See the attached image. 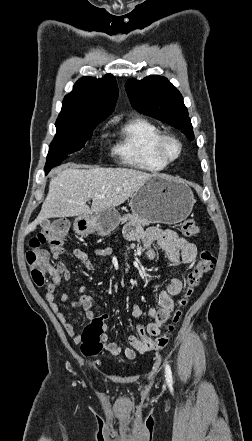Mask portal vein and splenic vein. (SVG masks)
I'll list each match as a JSON object with an SVG mask.
<instances>
[{
    "mask_svg": "<svg viewBox=\"0 0 252 441\" xmlns=\"http://www.w3.org/2000/svg\"><path fill=\"white\" fill-rule=\"evenodd\" d=\"M97 198H104V196L96 195Z\"/></svg>",
    "mask_w": 252,
    "mask_h": 441,
    "instance_id": "1",
    "label": "portal vein and splenic vein"
}]
</instances>
